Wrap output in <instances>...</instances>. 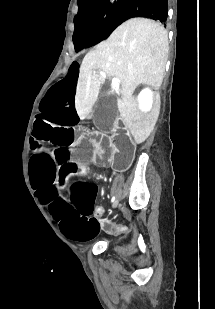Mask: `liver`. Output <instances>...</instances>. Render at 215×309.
<instances>
[{
	"label": "liver",
	"instance_id": "1",
	"mask_svg": "<svg viewBox=\"0 0 215 309\" xmlns=\"http://www.w3.org/2000/svg\"><path fill=\"white\" fill-rule=\"evenodd\" d=\"M168 52V32L150 18H129L115 28L107 40L85 54L76 86L75 106L81 120L92 110L100 92L101 74L121 80L117 106L135 142L140 144L152 132L159 106L143 114L133 92L138 84H162Z\"/></svg>",
	"mask_w": 215,
	"mask_h": 309
}]
</instances>
